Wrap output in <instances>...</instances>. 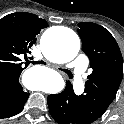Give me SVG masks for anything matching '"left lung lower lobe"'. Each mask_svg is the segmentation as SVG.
Instances as JSON below:
<instances>
[{
  "label": "left lung lower lobe",
  "mask_w": 124,
  "mask_h": 124,
  "mask_svg": "<svg viewBox=\"0 0 124 124\" xmlns=\"http://www.w3.org/2000/svg\"><path fill=\"white\" fill-rule=\"evenodd\" d=\"M47 101L50 114L58 124H91L87 121L70 82L66 83V88L61 93L49 95Z\"/></svg>",
  "instance_id": "left-lung-lower-lobe-1"
}]
</instances>
